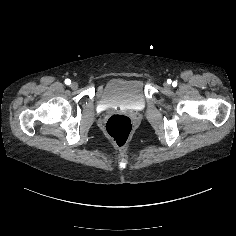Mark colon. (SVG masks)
I'll list each match as a JSON object with an SVG mask.
<instances>
[{
    "instance_id": "colon-1",
    "label": "colon",
    "mask_w": 236,
    "mask_h": 236,
    "mask_svg": "<svg viewBox=\"0 0 236 236\" xmlns=\"http://www.w3.org/2000/svg\"><path fill=\"white\" fill-rule=\"evenodd\" d=\"M133 132V122L125 114L111 116L105 124V133L118 147L124 146Z\"/></svg>"
}]
</instances>
